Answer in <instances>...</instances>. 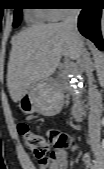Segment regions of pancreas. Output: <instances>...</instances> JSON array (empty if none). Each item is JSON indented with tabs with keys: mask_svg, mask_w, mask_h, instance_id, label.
Here are the masks:
<instances>
[{
	"mask_svg": "<svg viewBox=\"0 0 104 169\" xmlns=\"http://www.w3.org/2000/svg\"><path fill=\"white\" fill-rule=\"evenodd\" d=\"M70 73H72V72H70L69 70L65 69V70L62 71L61 76L63 77L64 80H69L68 75ZM74 74H76V75L80 74V72L78 71V69L76 70V72ZM74 101L76 103H79L80 102V97L75 98Z\"/></svg>",
	"mask_w": 104,
	"mask_h": 169,
	"instance_id": "obj_1",
	"label": "pancreas"
}]
</instances>
